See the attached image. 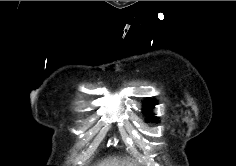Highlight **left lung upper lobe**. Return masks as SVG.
Returning a JSON list of instances; mask_svg holds the SVG:
<instances>
[{
	"label": "left lung upper lobe",
	"mask_w": 236,
	"mask_h": 166,
	"mask_svg": "<svg viewBox=\"0 0 236 166\" xmlns=\"http://www.w3.org/2000/svg\"><path fill=\"white\" fill-rule=\"evenodd\" d=\"M144 105L147 107V108H151L153 106L156 105V101L154 99H146L145 102H144ZM148 122L149 121H155L157 122L158 121V118H156L154 115L150 114L149 116V119L147 120Z\"/></svg>",
	"instance_id": "obj_1"
}]
</instances>
